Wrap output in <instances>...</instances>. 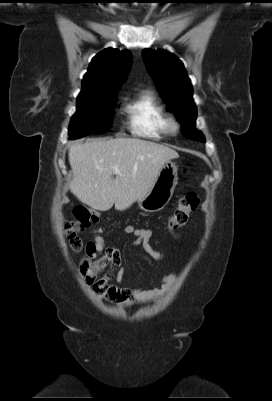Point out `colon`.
Wrapping results in <instances>:
<instances>
[{
	"mask_svg": "<svg viewBox=\"0 0 272 401\" xmlns=\"http://www.w3.org/2000/svg\"><path fill=\"white\" fill-rule=\"evenodd\" d=\"M184 171H186V169H184ZM198 204L199 198L196 194L191 193L184 196L179 201L170 217V228L176 229L183 226L187 222L189 215L196 210ZM100 218L101 215L96 210L89 209L85 206H76L74 208V220L66 225V237L73 251L78 252L83 246V242L78 235L79 232L97 224Z\"/></svg>",
	"mask_w": 272,
	"mask_h": 401,
	"instance_id": "1",
	"label": "colon"
}]
</instances>
